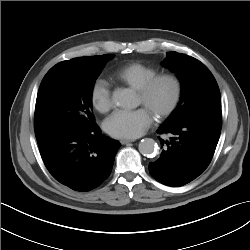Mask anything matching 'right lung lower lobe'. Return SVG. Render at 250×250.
Masks as SVG:
<instances>
[{
	"label": "right lung lower lobe",
	"mask_w": 250,
	"mask_h": 250,
	"mask_svg": "<svg viewBox=\"0 0 250 250\" xmlns=\"http://www.w3.org/2000/svg\"><path fill=\"white\" fill-rule=\"evenodd\" d=\"M43 162L64 186L87 192L110 175L120 143L103 134L96 125L83 132L55 133L37 138Z\"/></svg>",
	"instance_id": "right-lung-lower-lobe-1"
}]
</instances>
